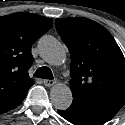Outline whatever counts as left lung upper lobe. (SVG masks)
Wrapping results in <instances>:
<instances>
[{"instance_id": "5c2ea615", "label": "left lung upper lobe", "mask_w": 125, "mask_h": 125, "mask_svg": "<svg viewBox=\"0 0 125 125\" xmlns=\"http://www.w3.org/2000/svg\"><path fill=\"white\" fill-rule=\"evenodd\" d=\"M55 26L71 56L72 105L122 107L125 59L108 30L87 18H60Z\"/></svg>"}]
</instances>
